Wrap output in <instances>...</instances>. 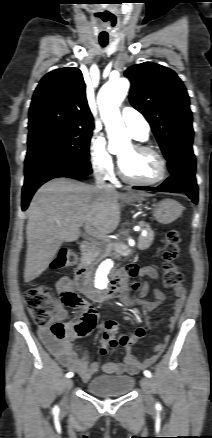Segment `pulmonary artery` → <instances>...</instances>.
I'll list each match as a JSON object with an SVG mask.
<instances>
[{
  "mask_svg": "<svg viewBox=\"0 0 212 438\" xmlns=\"http://www.w3.org/2000/svg\"><path fill=\"white\" fill-rule=\"evenodd\" d=\"M122 120L135 139L146 140L148 138L149 124L138 110L125 107L122 110Z\"/></svg>",
  "mask_w": 212,
  "mask_h": 438,
  "instance_id": "e3ab8cb5",
  "label": "pulmonary artery"
}]
</instances>
